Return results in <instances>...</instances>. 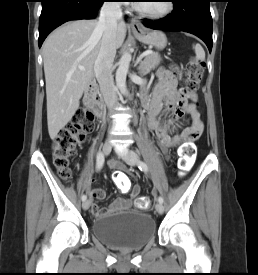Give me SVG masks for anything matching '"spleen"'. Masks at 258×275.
Segmentation results:
<instances>
[{"mask_svg":"<svg viewBox=\"0 0 258 275\" xmlns=\"http://www.w3.org/2000/svg\"><path fill=\"white\" fill-rule=\"evenodd\" d=\"M193 49L195 51L197 60H204L205 59V52H204V49L202 48V46L200 44L193 45Z\"/></svg>","mask_w":258,"mask_h":275,"instance_id":"1","label":"spleen"}]
</instances>
